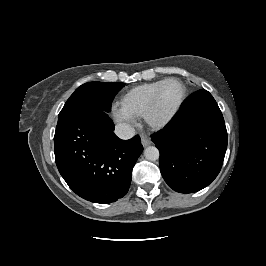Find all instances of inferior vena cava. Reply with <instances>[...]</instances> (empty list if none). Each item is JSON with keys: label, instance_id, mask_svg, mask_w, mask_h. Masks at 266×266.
<instances>
[{"label": "inferior vena cava", "instance_id": "1", "mask_svg": "<svg viewBox=\"0 0 266 266\" xmlns=\"http://www.w3.org/2000/svg\"><path fill=\"white\" fill-rule=\"evenodd\" d=\"M114 132L120 139L123 140L130 139L135 135V129L126 123L117 124Z\"/></svg>", "mask_w": 266, "mask_h": 266}]
</instances>
